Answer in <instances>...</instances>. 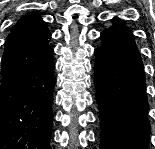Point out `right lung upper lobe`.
<instances>
[{"mask_svg": "<svg viewBox=\"0 0 155 149\" xmlns=\"http://www.w3.org/2000/svg\"><path fill=\"white\" fill-rule=\"evenodd\" d=\"M50 37L48 27L40 15L21 17L12 27L7 39L1 75H9L47 60L54 52L49 46Z\"/></svg>", "mask_w": 155, "mask_h": 149, "instance_id": "right-lung-upper-lobe-1", "label": "right lung upper lobe"}]
</instances>
